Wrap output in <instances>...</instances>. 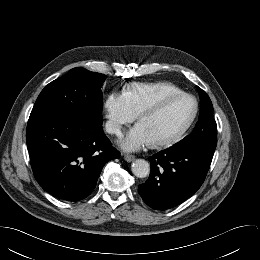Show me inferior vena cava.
<instances>
[{
  "label": "inferior vena cava",
  "instance_id": "1",
  "mask_svg": "<svg viewBox=\"0 0 260 260\" xmlns=\"http://www.w3.org/2000/svg\"><path fill=\"white\" fill-rule=\"evenodd\" d=\"M106 131L111 134H119L120 133V126L118 123L113 121H108L106 123Z\"/></svg>",
  "mask_w": 260,
  "mask_h": 260
}]
</instances>
